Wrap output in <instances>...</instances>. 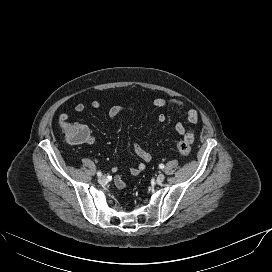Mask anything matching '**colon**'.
Listing matches in <instances>:
<instances>
[{
  "mask_svg": "<svg viewBox=\"0 0 272 272\" xmlns=\"http://www.w3.org/2000/svg\"><path fill=\"white\" fill-rule=\"evenodd\" d=\"M61 130L64 136L73 143H85L90 139V133L87 128L81 124L69 121H61ZM177 149L183 156H188L191 151V137L187 136L177 143Z\"/></svg>",
  "mask_w": 272,
  "mask_h": 272,
  "instance_id": "colon-1",
  "label": "colon"
}]
</instances>
